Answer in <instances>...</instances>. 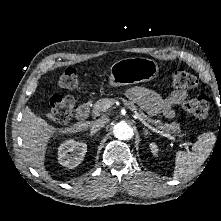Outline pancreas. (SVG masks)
<instances>
[{"mask_svg":"<svg viewBox=\"0 0 221 221\" xmlns=\"http://www.w3.org/2000/svg\"><path fill=\"white\" fill-rule=\"evenodd\" d=\"M116 102V99L111 98H102L95 102L93 106L92 113L96 116H98L101 112L105 111V107L108 105H113ZM122 102L125 106H127L131 111L137 112V107L134 105L133 102H130L126 99H122ZM140 116L147 121V123L153 125L158 129L159 131L166 133V134H174L180 132V126L178 123H162L161 120L157 119H151L147 115H145L143 112L140 111Z\"/></svg>","mask_w":221,"mask_h":221,"instance_id":"1","label":"pancreas"}]
</instances>
